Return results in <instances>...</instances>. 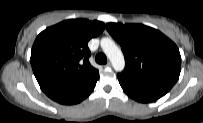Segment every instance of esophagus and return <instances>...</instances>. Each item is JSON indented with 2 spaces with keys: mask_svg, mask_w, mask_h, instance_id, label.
<instances>
[{
  "mask_svg": "<svg viewBox=\"0 0 203 123\" xmlns=\"http://www.w3.org/2000/svg\"><path fill=\"white\" fill-rule=\"evenodd\" d=\"M112 66V64L110 63V62H108L106 65H105V67H111Z\"/></svg>",
  "mask_w": 203,
  "mask_h": 123,
  "instance_id": "34e87169",
  "label": "esophagus"
}]
</instances>
